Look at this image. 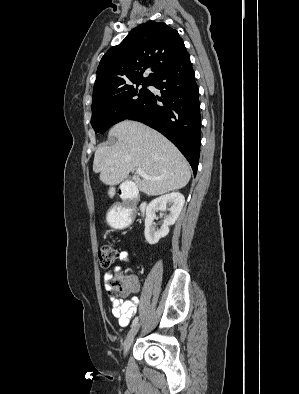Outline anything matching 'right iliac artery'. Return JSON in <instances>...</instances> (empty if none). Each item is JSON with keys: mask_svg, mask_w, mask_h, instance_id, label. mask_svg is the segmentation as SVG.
<instances>
[{"mask_svg": "<svg viewBox=\"0 0 299 394\" xmlns=\"http://www.w3.org/2000/svg\"><path fill=\"white\" fill-rule=\"evenodd\" d=\"M138 317H135V319L133 320V322H132V327L134 326V325H136L137 324V322H138Z\"/></svg>", "mask_w": 299, "mask_h": 394, "instance_id": "82829eb1", "label": "right iliac artery"}]
</instances>
